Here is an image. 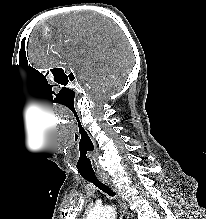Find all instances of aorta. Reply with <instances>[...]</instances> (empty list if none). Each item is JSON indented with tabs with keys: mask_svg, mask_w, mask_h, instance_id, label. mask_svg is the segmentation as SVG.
Here are the masks:
<instances>
[{
	"mask_svg": "<svg viewBox=\"0 0 206 219\" xmlns=\"http://www.w3.org/2000/svg\"><path fill=\"white\" fill-rule=\"evenodd\" d=\"M86 219H115V211L109 206L93 209Z\"/></svg>",
	"mask_w": 206,
	"mask_h": 219,
	"instance_id": "aorta-1",
	"label": "aorta"
}]
</instances>
